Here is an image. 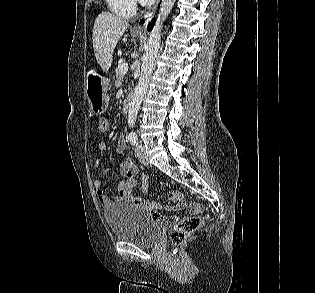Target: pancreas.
I'll return each mask as SVG.
<instances>
[{
	"mask_svg": "<svg viewBox=\"0 0 315 293\" xmlns=\"http://www.w3.org/2000/svg\"><path fill=\"white\" fill-rule=\"evenodd\" d=\"M124 64H125V61L123 59H120L116 68V81H115L116 86H120L123 81V74L121 73V69Z\"/></svg>",
	"mask_w": 315,
	"mask_h": 293,
	"instance_id": "1",
	"label": "pancreas"
}]
</instances>
